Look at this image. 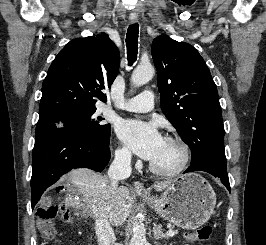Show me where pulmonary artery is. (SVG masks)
I'll return each instance as SVG.
<instances>
[{
	"label": "pulmonary artery",
	"mask_w": 266,
	"mask_h": 245,
	"mask_svg": "<svg viewBox=\"0 0 266 245\" xmlns=\"http://www.w3.org/2000/svg\"><path fill=\"white\" fill-rule=\"evenodd\" d=\"M152 95V91H143V94L133 96L131 99H127L120 104H116L115 107L131 112H149L154 108V103L150 102V96Z\"/></svg>",
	"instance_id": "obj_1"
}]
</instances>
